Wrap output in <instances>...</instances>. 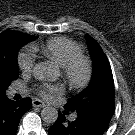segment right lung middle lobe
Listing matches in <instances>:
<instances>
[{
    "instance_id": "obj_1",
    "label": "right lung middle lobe",
    "mask_w": 135,
    "mask_h": 135,
    "mask_svg": "<svg viewBox=\"0 0 135 135\" xmlns=\"http://www.w3.org/2000/svg\"><path fill=\"white\" fill-rule=\"evenodd\" d=\"M36 38L38 36L12 31L1 43L5 57L0 58V95L5 94L11 82L19 76L17 62L19 49Z\"/></svg>"
}]
</instances>
